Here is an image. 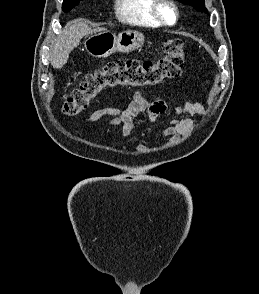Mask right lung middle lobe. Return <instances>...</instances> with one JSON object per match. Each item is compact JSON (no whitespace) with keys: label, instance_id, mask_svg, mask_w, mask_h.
Returning a JSON list of instances; mask_svg holds the SVG:
<instances>
[{"label":"right lung middle lobe","instance_id":"1","mask_svg":"<svg viewBox=\"0 0 259 294\" xmlns=\"http://www.w3.org/2000/svg\"><path fill=\"white\" fill-rule=\"evenodd\" d=\"M80 1L81 0H64L62 5V10L64 12H68L72 8H74L76 5H78Z\"/></svg>","mask_w":259,"mask_h":294}]
</instances>
